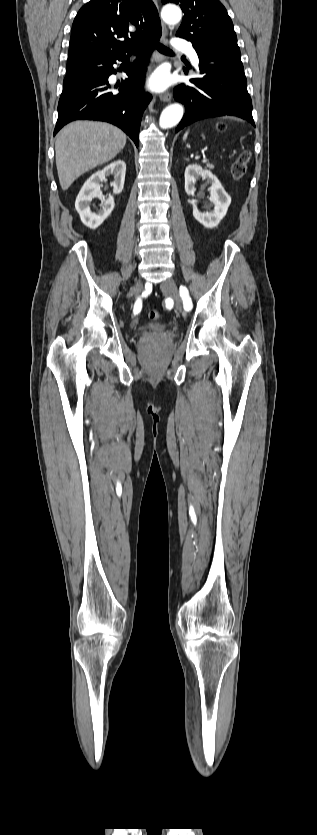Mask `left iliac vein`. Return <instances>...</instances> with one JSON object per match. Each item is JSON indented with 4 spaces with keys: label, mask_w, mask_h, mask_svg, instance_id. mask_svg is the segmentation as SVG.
Returning a JSON list of instances; mask_svg holds the SVG:
<instances>
[{
    "label": "left iliac vein",
    "mask_w": 317,
    "mask_h": 835,
    "mask_svg": "<svg viewBox=\"0 0 317 835\" xmlns=\"http://www.w3.org/2000/svg\"><path fill=\"white\" fill-rule=\"evenodd\" d=\"M161 290L165 294L170 296L174 300L176 308L179 311H182V309H183L182 300H181L180 293H179L178 287H177L174 279L168 278L167 280L163 281L161 283Z\"/></svg>",
    "instance_id": "4c4485c4"
}]
</instances>
